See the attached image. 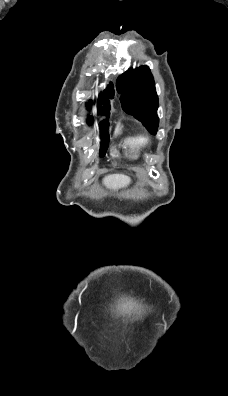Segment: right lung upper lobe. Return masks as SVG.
<instances>
[{"label":"right lung upper lobe","instance_id":"obj_1","mask_svg":"<svg viewBox=\"0 0 228 396\" xmlns=\"http://www.w3.org/2000/svg\"><path fill=\"white\" fill-rule=\"evenodd\" d=\"M113 95H114V89L111 85L104 91V94L103 93L100 94L99 100L104 104V107H99V112L101 114L106 115L109 113L110 105L108 98H112ZM89 105H91V102L87 104V106ZM89 119L91 120L92 118L90 117Z\"/></svg>","mask_w":228,"mask_h":396}]
</instances>
